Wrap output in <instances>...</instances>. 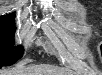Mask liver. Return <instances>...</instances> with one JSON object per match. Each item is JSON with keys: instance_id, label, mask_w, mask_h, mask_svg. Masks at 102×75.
Masks as SVG:
<instances>
[{"instance_id": "6515ba94", "label": "liver", "mask_w": 102, "mask_h": 75, "mask_svg": "<svg viewBox=\"0 0 102 75\" xmlns=\"http://www.w3.org/2000/svg\"><path fill=\"white\" fill-rule=\"evenodd\" d=\"M1 75H63V72L50 65H34L28 68L2 71Z\"/></svg>"}]
</instances>
